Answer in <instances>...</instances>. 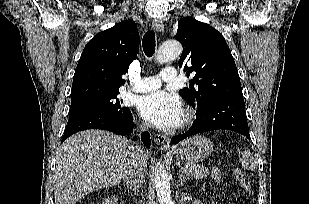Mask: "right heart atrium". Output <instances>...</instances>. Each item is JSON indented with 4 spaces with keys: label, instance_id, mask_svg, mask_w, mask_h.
<instances>
[{
    "label": "right heart atrium",
    "instance_id": "obj_1",
    "mask_svg": "<svg viewBox=\"0 0 309 204\" xmlns=\"http://www.w3.org/2000/svg\"><path fill=\"white\" fill-rule=\"evenodd\" d=\"M141 127H142V128H147L148 125H147L146 123L142 122V123H141Z\"/></svg>",
    "mask_w": 309,
    "mask_h": 204
}]
</instances>
